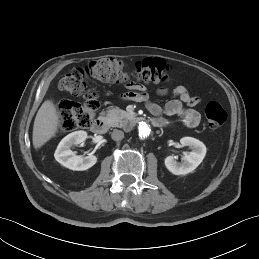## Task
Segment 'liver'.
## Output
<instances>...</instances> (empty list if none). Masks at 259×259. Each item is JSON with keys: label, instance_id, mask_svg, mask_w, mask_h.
I'll use <instances>...</instances> for the list:
<instances>
[{"label": "liver", "instance_id": "obj_1", "mask_svg": "<svg viewBox=\"0 0 259 259\" xmlns=\"http://www.w3.org/2000/svg\"><path fill=\"white\" fill-rule=\"evenodd\" d=\"M59 114L52 100H46L39 108L33 126V146L41 148L56 135L59 125Z\"/></svg>", "mask_w": 259, "mask_h": 259}]
</instances>
